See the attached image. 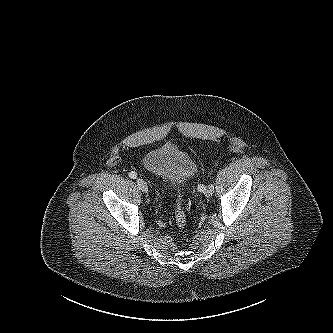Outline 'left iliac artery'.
I'll list each match as a JSON object with an SVG mask.
<instances>
[{
	"label": "left iliac artery",
	"mask_w": 333,
	"mask_h": 333,
	"mask_svg": "<svg viewBox=\"0 0 333 333\" xmlns=\"http://www.w3.org/2000/svg\"><path fill=\"white\" fill-rule=\"evenodd\" d=\"M211 187H213V189H214V186H213L212 184H211ZM205 189H206V187H205L203 184L198 185V190H199L200 192H204Z\"/></svg>",
	"instance_id": "1"
}]
</instances>
